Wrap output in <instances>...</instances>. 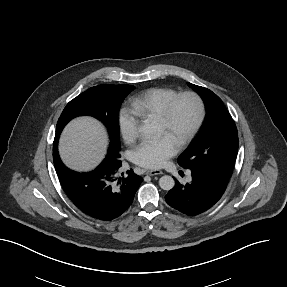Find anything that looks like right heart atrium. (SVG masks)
<instances>
[{
	"mask_svg": "<svg viewBox=\"0 0 287 287\" xmlns=\"http://www.w3.org/2000/svg\"><path fill=\"white\" fill-rule=\"evenodd\" d=\"M119 129L121 136L126 142H133L139 136V120L134 112L124 107L119 113Z\"/></svg>",
	"mask_w": 287,
	"mask_h": 287,
	"instance_id": "d8ad5b80",
	"label": "right heart atrium"
}]
</instances>
